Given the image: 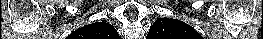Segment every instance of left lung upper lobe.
<instances>
[{"label":"left lung upper lobe","mask_w":263,"mask_h":39,"mask_svg":"<svg viewBox=\"0 0 263 39\" xmlns=\"http://www.w3.org/2000/svg\"><path fill=\"white\" fill-rule=\"evenodd\" d=\"M147 39H203L190 25L171 18H159L150 27Z\"/></svg>","instance_id":"obj_1"}]
</instances>
